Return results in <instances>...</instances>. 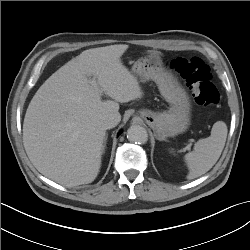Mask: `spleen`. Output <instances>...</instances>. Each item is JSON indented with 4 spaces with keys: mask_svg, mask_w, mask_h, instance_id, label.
I'll return each mask as SVG.
<instances>
[{
    "mask_svg": "<svg viewBox=\"0 0 250 250\" xmlns=\"http://www.w3.org/2000/svg\"><path fill=\"white\" fill-rule=\"evenodd\" d=\"M227 126L223 121L214 123L211 135L199 139L194 150L185 155V162L189 169L188 179H195L209 171L218 161L227 138Z\"/></svg>",
    "mask_w": 250,
    "mask_h": 250,
    "instance_id": "obj_1",
    "label": "spleen"
}]
</instances>
